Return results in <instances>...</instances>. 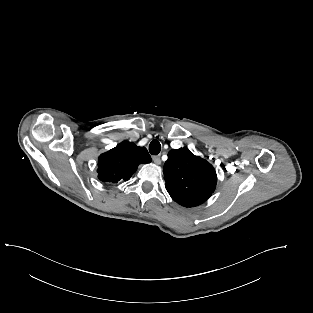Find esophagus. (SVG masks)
Segmentation results:
<instances>
[{"mask_svg": "<svg viewBox=\"0 0 313 313\" xmlns=\"http://www.w3.org/2000/svg\"><path fill=\"white\" fill-rule=\"evenodd\" d=\"M152 159H153L155 164H157V165L161 164V159H160L159 155L153 156Z\"/></svg>", "mask_w": 313, "mask_h": 313, "instance_id": "1", "label": "esophagus"}]
</instances>
